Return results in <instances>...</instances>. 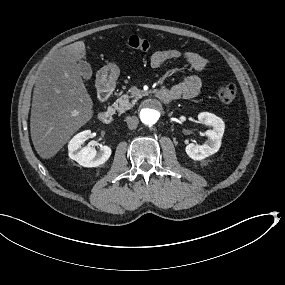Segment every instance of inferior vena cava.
Masks as SVG:
<instances>
[{"mask_svg":"<svg viewBox=\"0 0 285 285\" xmlns=\"http://www.w3.org/2000/svg\"><path fill=\"white\" fill-rule=\"evenodd\" d=\"M127 126L129 129H135L138 124V118L135 116H127L126 118Z\"/></svg>","mask_w":285,"mask_h":285,"instance_id":"602c4592","label":"inferior vena cava"}]
</instances>
